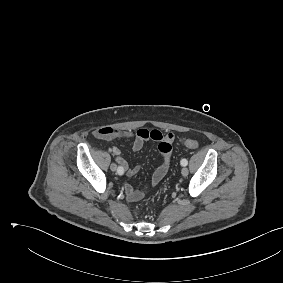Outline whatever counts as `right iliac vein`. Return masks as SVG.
Returning a JSON list of instances; mask_svg holds the SVG:
<instances>
[{
	"label": "right iliac vein",
	"instance_id": "right-iliac-vein-1",
	"mask_svg": "<svg viewBox=\"0 0 283 283\" xmlns=\"http://www.w3.org/2000/svg\"><path fill=\"white\" fill-rule=\"evenodd\" d=\"M110 169H111L112 171H116V170H117V165H116L115 163H112V164L110 165Z\"/></svg>",
	"mask_w": 283,
	"mask_h": 283
}]
</instances>
